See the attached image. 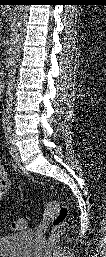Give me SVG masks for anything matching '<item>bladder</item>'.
Segmentation results:
<instances>
[{"mask_svg": "<svg viewBox=\"0 0 106 257\" xmlns=\"http://www.w3.org/2000/svg\"><path fill=\"white\" fill-rule=\"evenodd\" d=\"M34 233L24 230L18 234L0 238V255L2 257H26L33 246Z\"/></svg>", "mask_w": 106, "mask_h": 257, "instance_id": "31cf9c89", "label": "bladder"}]
</instances>
